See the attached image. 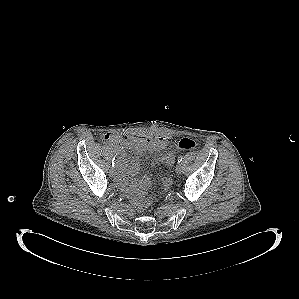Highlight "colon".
I'll return each instance as SVG.
<instances>
[{"label":"colon","instance_id":"colon-1","mask_svg":"<svg viewBox=\"0 0 299 299\" xmlns=\"http://www.w3.org/2000/svg\"><path fill=\"white\" fill-rule=\"evenodd\" d=\"M178 147L182 150H193L196 147V141L193 138L190 137H183L178 142ZM150 204V201L147 200L143 203L144 206H147Z\"/></svg>","mask_w":299,"mask_h":299}]
</instances>
